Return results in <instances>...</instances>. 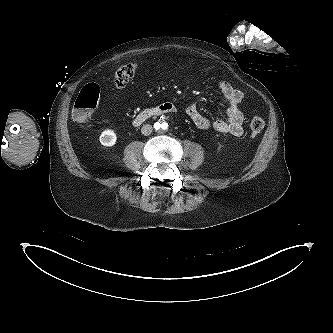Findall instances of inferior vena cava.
<instances>
[{"label": "inferior vena cava", "mask_w": 333, "mask_h": 333, "mask_svg": "<svg viewBox=\"0 0 333 333\" xmlns=\"http://www.w3.org/2000/svg\"><path fill=\"white\" fill-rule=\"evenodd\" d=\"M152 130H153V128H152L151 125H149V124H145V125H143V127L141 128V133H142L143 135H145V136H148V135H150V134L152 133Z\"/></svg>", "instance_id": "602c4592"}]
</instances>
